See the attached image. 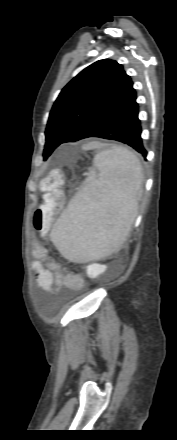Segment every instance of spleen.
Listing matches in <instances>:
<instances>
[{
  "label": "spleen",
  "instance_id": "1",
  "mask_svg": "<svg viewBox=\"0 0 177 440\" xmlns=\"http://www.w3.org/2000/svg\"><path fill=\"white\" fill-rule=\"evenodd\" d=\"M97 171L86 179L50 233L68 260L89 262L117 251L137 214L143 171L128 149L113 146L94 157Z\"/></svg>",
  "mask_w": 177,
  "mask_h": 440
}]
</instances>
